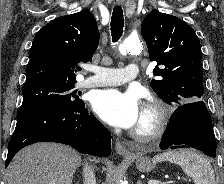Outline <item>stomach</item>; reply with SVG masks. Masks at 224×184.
I'll list each match as a JSON object with an SVG mask.
<instances>
[{
  "label": "stomach",
  "mask_w": 224,
  "mask_h": 184,
  "mask_svg": "<svg viewBox=\"0 0 224 184\" xmlns=\"http://www.w3.org/2000/svg\"><path fill=\"white\" fill-rule=\"evenodd\" d=\"M135 164L136 168L143 173L150 172L155 167V163L151 161L148 157H137Z\"/></svg>",
  "instance_id": "1"
}]
</instances>
